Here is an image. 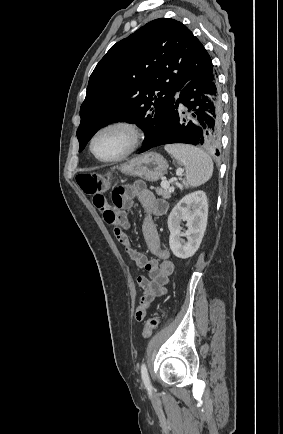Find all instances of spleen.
Wrapping results in <instances>:
<instances>
[{
    "label": "spleen",
    "instance_id": "spleen-1",
    "mask_svg": "<svg viewBox=\"0 0 283 434\" xmlns=\"http://www.w3.org/2000/svg\"><path fill=\"white\" fill-rule=\"evenodd\" d=\"M165 150L185 168V187H197L208 181L213 174V161L210 156L190 145H166Z\"/></svg>",
    "mask_w": 283,
    "mask_h": 434
}]
</instances>
